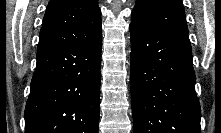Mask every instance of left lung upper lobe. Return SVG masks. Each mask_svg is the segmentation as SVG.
<instances>
[{"label":"left lung upper lobe","mask_w":221,"mask_h":133,"mask_svg":"<svg viewBox=\"0 0 221 133\" xmlns=\"http://www.w3.org/2000/svg\"><path fill=\"white\" fill-rule=\"evenodd\" d=\"M131 24L188 35L181 0H137L131 14Z\"/></svg>","instance_id":"5c2ea615"}]
</instances>
